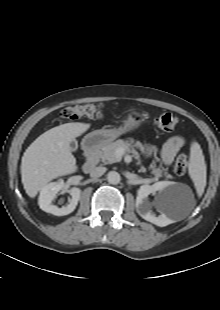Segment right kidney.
I'll list each match as a JSON object with an SVG mask.
<instances>
[{
    "instance_id": "right-kidney-1",
    "label": "right kidney",
    "mask_w": 220,
    "mask_h": 310,
    "mask_svg": "<svg viewBox=\"0 0 220 310\" xmlns=\"http://www.w3.org/2000/svg\"><path fill=\"white\" fill-rule=\"evenodd\" d=\"M65 187V183L63 180H58L56 182H51L45 185L39 195V206L40 208L47 212L56 216H64L72 213L80 199L81 190L79 188L73 187L70 189L71 199L69 200V204L67 206H63L61 208L52 205V201L55 199L56 194Z\"/></svg>"
}]
</instances>
